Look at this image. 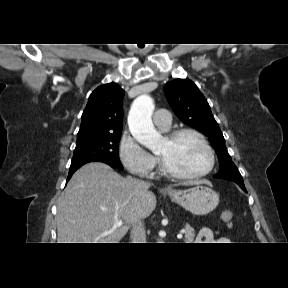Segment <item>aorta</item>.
<instances>
[{"mask_svg":"<svg viewBox=\"0 0 288 288\" xmlns=\"http://www.w3.org/2000/svg\"><path fill=\"white\" fill-rule=\"evenodd\" d=\"M154 107L153 99L143 94L134 100L128 115L132 136L149 149H156L161 142V136L155 130L151 119Z\"/></svg>","mask_w":288,"mask_h":288,"instance_id":"1","label":"aorta"}]
</instances>
